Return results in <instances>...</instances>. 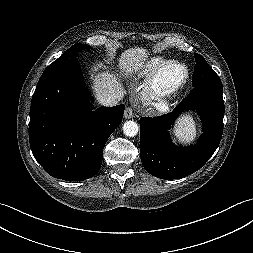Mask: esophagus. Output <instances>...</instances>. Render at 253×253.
<instances>
[{
	"mask_svg": "<svg viewBox=\"0 0 253 253\" xmlns=\"http://www.w3.org/2000/svg\"><path fill=\"white\" fill-rule=\"evenodd\" d=\"M134 117L133 109L131 107H127L124 112L125 119H131Z\"/></svg>",
	"mask_w": 253,
	"mask_h": 253,
	"instance_id": "34e87169",
	"label": "esophagus"
}]
</instances>
